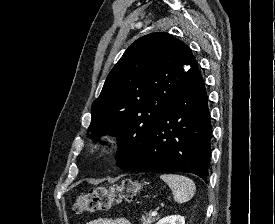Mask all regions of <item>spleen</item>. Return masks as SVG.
<instances>
[{
  "label": "spleen",
  "instance_id": "1",
  "mask_svg": "<svg viewBox=\"0 0 275 224\" xmlns=\"http://www.w3.org/2000/svg\"><path fill=\"white\" fill-rule=\"evenodd\" d=\"M160 178L171 188L176 202L184 203L193 197L196 187L188 177L177 174H162Z\"/></svg>",
  "mask_w": 275,
  "mask_h": 224
}]
</instances>
